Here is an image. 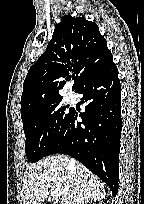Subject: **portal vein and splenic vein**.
<instances>
[{"label":"portal vein and splenic vein","mask_w":144,"mask_h":204,"mask_svg":"<svg viewBox=\"0 0 144 204\" xmlns=\"http://www.w3.org/2000/svg\"><path fill=\"white\" fill-rule=\"evenodd\" d=\"M50 194H51V196H53V197H58V196L61 195V191H60L59 188L53 187V188L50 189Z\"/></svg>","instance_id":"18ae733b"}]
</instances>
